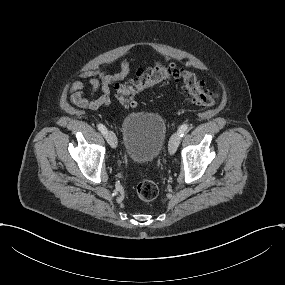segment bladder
<instances>
[{
    "label": "bladder",
    "instance_id": "obj_1",
    "mask_svg": "<svg viewBox=\"0 0 285 285\" xmlns=\"http://www.w3.org/2000/svg\"><path fill=\"white\" fill-rule=\"evenodd\" d=\"M166 138V122L159 113L136 111L123 118L121 144L131 162H153L162 152Z\"/></svg>",
    "mask_w": 285,
    "mask_h": 285
}]
</instances>
